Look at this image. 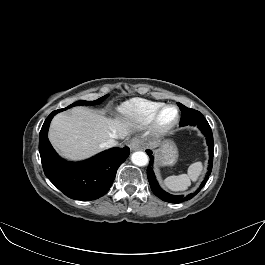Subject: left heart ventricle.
Masks as SVG:
<instances>
[{
  "mask_svg": "<svg viewBox=\"0 0 265 265\" xmlns=\"http://www.w3.org/2000/svg\"><path fill=\"white\" fill-rule=\"evenodd\" d=\"M175 116V110L173 108L167 109L162 116L163 122H169Z\"/></svg>",
  "mask_w": 265,
  "mask_h": 265,
  "instance_id": "b2bd125f",
  "label": "left heart ventricle"
}]
</instances>
